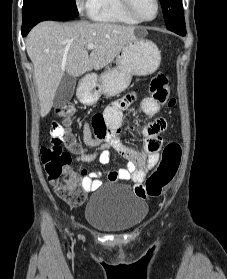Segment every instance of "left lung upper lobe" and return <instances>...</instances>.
<instances>
[{
  "label": "left lung upper lobe",
  "mask_w": 227,
  "mask_h": 279,
  "mask_svg": "<svg viewBox=\"0 0 227 279\" xmlns=\"http://www.w3.org/2000/svg\"><path fill=\"white\" fill-rule=\"evenodd\" d=\"M167 27L185 28L182 0H160Z\"/></svg>",
  "instance_id": "1"
}]
</instances>
